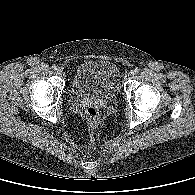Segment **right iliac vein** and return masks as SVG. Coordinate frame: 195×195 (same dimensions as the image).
<instances>
[{"instance_id":"obj_1","label":"right iliac vein","mask_w":195,"mask_h":195,"mask_svg":"<svg viewBox=\"0 0 195 195\" xmlns=\"http://www.w3.org/2000/svg\"><path fill=\"white\" fill-rule=\"evenodd\" d=\"M62 72H63V71H62L61 68H57V69H56V73H57L58 75H62Z\"/></svg>"}]
</instances>
